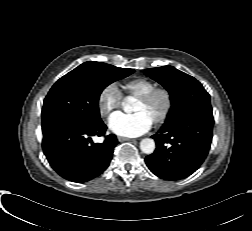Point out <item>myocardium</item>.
<instances>
[{"label":"myocardium","instance_id":"obj_1","mask_svg":"<svg viewBox=\"0 0 252 231\" xmlns=\"http://www.w3.org/2000/svg\"><path fill=\"white\" fill-rule=\"evenodd\" d=\"M157 96L164 98V107L162 112L153 120L155 125L163 124L169 117L173 108V96L169 89L165 87H155L144 95L138 97V100L145 104H150Z\"/></svg>","mask_w":252,"mask_h":231}]
</instances>
